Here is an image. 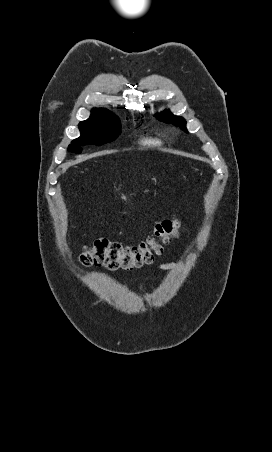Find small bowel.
I'll return each mask as SVG.
<instances>
[{
	"instance_id": "obj_1",
	"label": "small bowel",
	"mask_w": 272,
	"mask_h": 452,
	"mask_svg": "<svg viewBox=\"0 0 272 452\" xmlns=\"http://www.w3.org/2000/svg\"><path fill=\"white\" fill-rule=\"evenodd\" d=\"M177 266V264L175 262H165L159 265V269L160 270H168V269H173Z\"/></svg>"
}]
</instances>
